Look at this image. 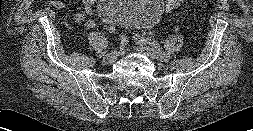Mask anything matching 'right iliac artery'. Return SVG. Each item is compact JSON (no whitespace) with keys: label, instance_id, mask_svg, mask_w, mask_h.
I'll list each match as a JSON object with an SVG mask.
<instances>
[{"label":"right iliac artery","instance_id":"1","mask_svg":"<svg viewBox=\"0 0 253 131\" xmlns=\"http://www.w3.org/2000/svg\"><path fill=\"white\" fill-rule=\"evenodd\" d=\"M126 44V39L123 35L120 36V43L119 46H117V48H121Z\"/></svg>","mask_w":253,"mask_h":131}]
</instances>
